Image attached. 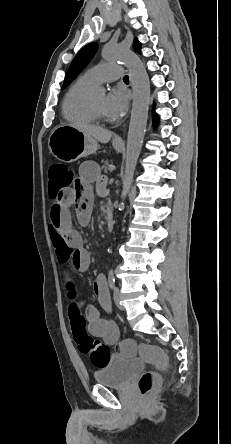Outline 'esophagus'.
I'll return each instance as SVG.
<instances>
[{"instance_id":"obj_1","label":"esophagus","mask_w":231,"mask_h":444,"mask_svg":"<svg viewBox=\"0 0 231 444\" xmlns=\"http://www.w3.org/2000/svg\"><path fill=\"white\" fill-rule=\"evenodd\" d=\"M115 140L116 141H121V138L120 137H116Z\"/></svg>"}]
</instances>
